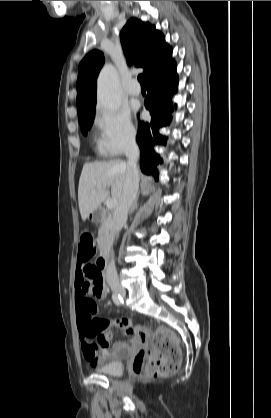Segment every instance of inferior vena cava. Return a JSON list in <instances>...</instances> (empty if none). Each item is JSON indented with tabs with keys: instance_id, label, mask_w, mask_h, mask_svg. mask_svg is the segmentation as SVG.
I'll use <instances>...</instances> for the list:
<instances>
[{
	"instance_id": "inferior-vena-cava-1",
	"label": "inferior vena cava",
	"mask_w": 271,
	"mask_h": 418,
	"mask_svg": "<svg viewBox=\"0 0 271 418\" xmlns=\"http://www.w3.org/2000/svg\"><path fill=\"white\" fill-rule=\"evenodd\" d=\"M125 154L128 158L125 185L122 196L119 199L113 213V227L117 234H119V231L126 223L128 211L134 199L136 198L138 191L139 174L137 161L140 155V151L135 140H132L127 146ZM106 280L110 285L119 283L115 263L113 260L109 263L106 269Z\"/></svg>"
}]
</instances>
